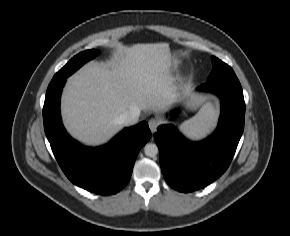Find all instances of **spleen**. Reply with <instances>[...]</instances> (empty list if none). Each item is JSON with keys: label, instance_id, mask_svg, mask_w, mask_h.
<instances>
[{"label": "spleen", "instance_id": "1", "mask_svg": "<svg viewBox=\"0 0 290 236\" xmlns=\"http://www.w3.org/2000/svg\"><path fill=\"white\" fill-rule=\"evenodd\" d=\"M216 117L217 114L213 104L208 102L194 117L183 122L180 128L190 137L201 138L214 126Z\"/></svg>", "mask_w": 290, "mask_h": 236}]
</instances>
